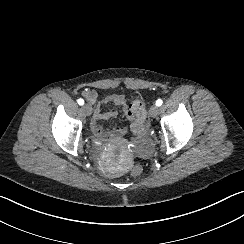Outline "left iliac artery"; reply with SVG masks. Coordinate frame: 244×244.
Masks as SVG:
<instances>
[{
    "label": "left iliac artery",
    "mask_w": 244,
    "mask_h": 244,
    "mask_svg": "<svg viewBox=\"0 0 244 244\" xmlns=\"http://www.w3.org/2000/svg\"><path fill=\"white\" fill-rule=\"evenodd\" d=\"M162 103H163V101H162L161 99H158V100L156 101V105H157V106H161Z\"/></svg>",
    "instance_id": "44dca946"
}]
</instances>
